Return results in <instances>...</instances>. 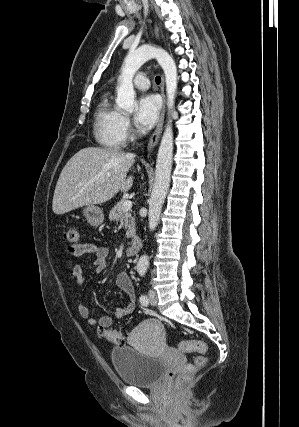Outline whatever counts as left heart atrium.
<instances>
[{
    "instance_id": "left-heart-atrium-1",
    "label": "left heart atrium",
    "mask_w": 299,
    "mask_h": 427,
    "mask_svg": "<svg viewBox=\"0 0 299 427\" xmlns=\"http://www.w3.org/2000/svg\"><path fill=\"white\" fill-rule=\"evenodd\" d=\"M160 103L155 95L147 94L142 96L137 103L135 112V122L140 129H151L159 116Z\"/></svg>"
}]
</instances>
